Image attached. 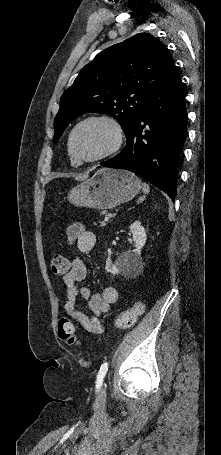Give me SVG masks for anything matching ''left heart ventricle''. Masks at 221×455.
<instances>
[{"label":"left heart ventricle","mask_w":221,"mask_h":455,"mask_svg":"<svg viewBox=\"0 0 221 455\" xmlns=\"http://www.w3.org/2000/svg\"><path fill=\"white\" fill-rule=\"evenodd\" d=\"M110 129L100 123L83 126L75 138V151L81 158H90L106 151L112 144Z\"/></svg>","instance_id":"1"}]
</instances>
